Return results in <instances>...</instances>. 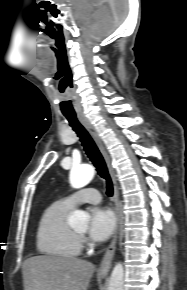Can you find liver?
Here are the masks:
<instances>
[{"label": "liver", "mask_w": 187, "mask_h": 290, "mask_svg": "<svg viewBox=\"0 0 187 290\" xmlns=\"http://www.w3.org/2000/svg\"><path fill=\"white\" fill-rule=\"evenodd\" d=\"M95 266L76 257L39 255L22 265L24 290H87Z\"/></svg>", "instance_id": "1"}]
</instances>
